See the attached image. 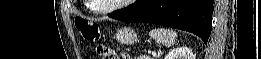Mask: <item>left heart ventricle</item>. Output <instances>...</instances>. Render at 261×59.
Listing matches in <instances>:
<instances>
[{"label": "left heart ventricle", "mask_w": 261, "mask_h": 59, "mask_svg": "<svg viewBox=\"0 0 261 59\" xmlns=\"http://www.w3.org/2000/svg\"><path fill=\"white\" fill-rule=\"evenodd\" d=\"M120 2H122V0H94V1H92V3H94L95 7L100 8V9L109 8Z\"/></svg>", "instance_id": "1"}]
</instances>
